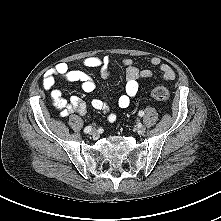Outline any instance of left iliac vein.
Here are the masks:
<instances>
[{
  "label": "left iliac vein",
  "mask_w": 221,
  "mask_h": 221,
  "mask_svg": "<svg viewBox=\"0 0 221 221\" xmlns=\"http://www.w3.org/2000/svg\"><path fill=\"white\" fill-rule=\"evenodd\" d=\"M146 131V128L144 125H140L138 128H137V133L138 134H144Z\"/></svg>",
  "instance_id": "4c4485c4"
}]
</instances>
